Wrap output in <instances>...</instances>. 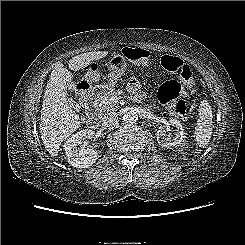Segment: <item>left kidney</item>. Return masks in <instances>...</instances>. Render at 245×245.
Masks as SVG:
<instances>
[{
  "mask_svg": "<svg viewBox=\"0 0 245 245\" xmlns=\"http://www.w3.org/2000/svg\"><path fill=\"white\" fill-rule=\"evenodd\" d=\"M170 126H173L176 128V132H174L175 137H166V132L171 131L172 128L170 126L167 127V130L165 128H160L156 133V139L158 143L165 148H169L172 146H178L184 141V130L179 120L177 119H170Z\"/></svg>",
  "mask_w": 245,
  "mask_h": 245,
  "instance_id": "left-kidney-1",
  "label": "left kidney"
}]
</instances>
